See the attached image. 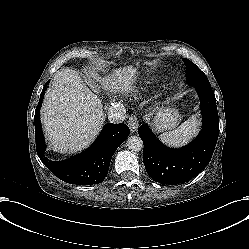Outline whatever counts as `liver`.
<instances>
[{
    "label": "liver",
    "mask_w": 249,
    "mask_h": 249,
    "mask_svg": "<svg viewBox=\"0 0 249 249\" xmlns=\"http://www.w3.org/2000/svg\"><path fill=\"white\" fill-rule=\"evenodd\" d=\"M133 71L117 72L116 80L102 78L94 70L90 77L102 81L104 88L129 93ZM45 135L52 149L59 153H75L89 146L104 124V107L81 79L79 72L57 73L47 89L41 108Z\"/></svg>",
    "instance_id": "obj_1"
}]
</instances>
